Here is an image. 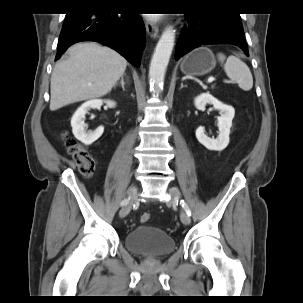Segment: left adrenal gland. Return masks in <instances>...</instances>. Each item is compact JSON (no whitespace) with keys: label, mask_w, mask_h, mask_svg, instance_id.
I'll return each mask as SVG.
<instances>
[{"label":"left adrenal gland","mask_w":303,"mask_h":303,"mask_svg":"<svg viewBox=\"0 0 303 303\" xmlns=\"http://www.w3.org/2000/svg\"><path fill=\"white\" fill-rule=\"evenodd\" d=\"M183 87H185V85H183V83H181L180 89H182Z\"/></svg>","instance_id":"1"}]
</instances>
